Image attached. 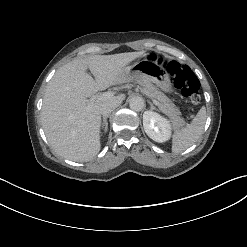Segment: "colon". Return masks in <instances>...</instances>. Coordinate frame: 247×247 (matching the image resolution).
<instances>
[{
    "mask_svg": "<svg viewBox=\"0 0 247 247\" xmlns=\"http://www.w3.org/2000/svg\"><path fill=\"white\" fill-rule=\"evenodd\" d=\"M163 64L175 87L181 90L184 97L197 104L200 101V82L191 68L177 61H165Z\"/></svg>",
    "mask_w": 247,
    "mask_h": 247,
    "instance_id": "1",
    "label": "colon"
}]
</instances>
